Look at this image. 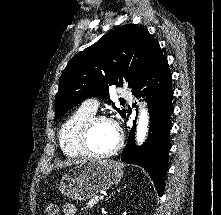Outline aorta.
Returning <instances> with one entry per match:
<instances>
[{
	"instance_id": "obj_1",
	"label": "aorta",
	"mask_w": 221,
	"mask_h": 215,
	"mask_svg": "<svg viewBox=\"0 0 221 215\" xmlns=\"http://www.w3.org/2000/svg\"><path fill=\"white\" fill-rule=\"evenodd\" d=\"M148 126H149V115L146 108H141L139 116H138V122H137V128H136V142L137 144H142L147 136L148 132Z\"/></svg>"
}]
</instances>
